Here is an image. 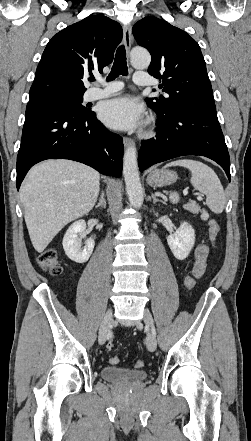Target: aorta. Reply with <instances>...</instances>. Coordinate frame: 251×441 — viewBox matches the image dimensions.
Masks as SVG:
<instances>
[{
    "label": "aorta",
    "mask_w": 251,
    "mask_h": 441,
    "mask_svg": "<svg viewBox=\"0 0 251 441\" xmlns=\"http://www.w3.org/2000/svg\"><path fill=\"white\" fill-rule=\"evenodd\" d=\"M150 62L151 56L148 51L141 48H135L131 51V63L133 67L145 69L149 66ZM123 175L130 204L134 208H140L143 204V189L139 176L137 151L133 145L127 147L125 150Z\"/></svg>",
    "instance_id": "aorta-1"
}]
</instances>
